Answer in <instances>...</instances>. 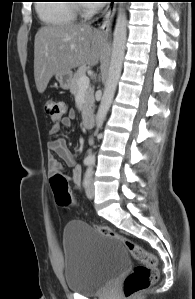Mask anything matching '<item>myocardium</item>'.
Instances as JSON below:
<instances>
[{"instance_id":"f54148a6","label":"myocardium","mask_w":195,"mask_h":299,"mask_svg":"<svg viewBox=\"0 0 195 299\" xmlns=\"http://www.w3.org/2000/svg\"><path fill=\"white\" fill-rule=\"evenodd\" d=\"M78 9L81 11V12H86V6L85 5H83V4H80L79 6H78Z\"/></svg>"}]
</instances>
